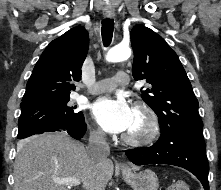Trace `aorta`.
Segmentation results:
<instances>
[{
    "instance_id": "obj_1",
    "label": "aorta",
    "mask_w": 221,
    "mask_h": 190,
    "mask_svg": "<svg viewBox=\"0 0 221 190\" xmlns=\"http://www.w3.org/2000/svg\"><path fill=\"white\" fill-rule=\"evenodd\" d=\"M131 56V49L128 46L117 45L109 50L106 61L115 63L128 59Z\"/></svg>"
}]
</instances>
